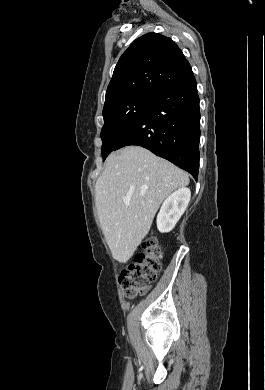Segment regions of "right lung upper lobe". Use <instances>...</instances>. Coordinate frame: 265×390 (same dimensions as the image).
<instances>
[{
  "instance_id": "right-lung-upper-lobe-1",
  "label": "right lung upper lobe",
  "mask_w": 265,
  "mask_h": 390,
  "mask_svg": "<svg viewBox=\"0 0 265 390\" xmlns=\"http://www.w3.org/2000/svg\"><path fill=\"white\" fill-rule=\"evenodd\" d=\"M190 69L172 39L147 33L133 41L120 57L106 91L104 107L136 94L157 96Z\"/></svg>"
}]
</instances>
